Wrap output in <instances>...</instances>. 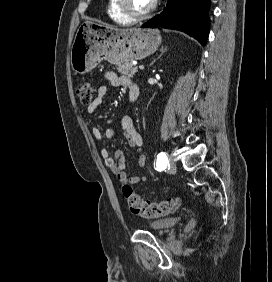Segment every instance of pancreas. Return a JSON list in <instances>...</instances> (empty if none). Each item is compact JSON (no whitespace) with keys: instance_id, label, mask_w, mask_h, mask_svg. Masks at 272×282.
I'll return each instance as SVG.
<instances>
[{"instance_id":"pancreas-1","label":"pancreas","mask_w":272,"mask_h":282,"mask_svg":"<svg viewBox=\"0 0 272 282\" xmlns=\"http://www.w3.org/2000/svg\"><path fill=\"white\" fill-rule=\"evenodd\" d=\"M117 70L121 75L128 77H133L138 72L137 66L132 63L119 64Z\"/></svg>"}]
</instances>
